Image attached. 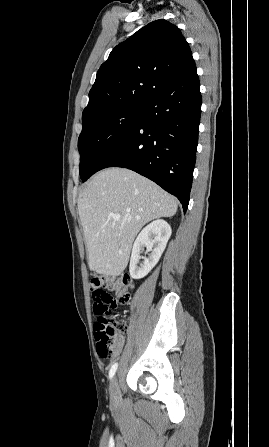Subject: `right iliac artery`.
<instances>
[{
	"mask_svg": "<svg viewBox=\"0 0 269 447\" xmlns=\"http://www.w3.org/2000/svg\"><path fill=\"white\" fill-rule=\"evenodd\" d=\"M117 367H118V364H117V363H115V364L111 367L110 372H109V378H110V379L114 376V374H115V372H116V370H117Z\"/></svg>",
	"mask_w": 269,
	"mask_h": 447,
	"instance_id": "right-iliac-artery-1",
	"label": "right iliac artery"
}]
</instances>
